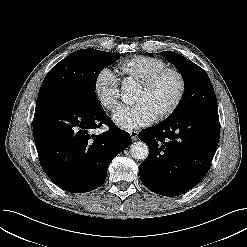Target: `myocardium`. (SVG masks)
Here are the masks:
<instances>
[{
	"mask_svg": "<svg viewBox=\"0 0 247 247\" xmlns=\"http://www.w3.org/2000/svg\"><path fill=\"white\" fill-rule=\"evenodd\" d=\"M166 73H174L180 82V88H179V92L175 98V100L173 101V103L164 111H162L159 115H158V119L159 120H163L168 118L169 116H171L180 106V104L182 103L185 94H186V90H187V82H186V78L184 76V74L177 68L174 67H165L162 68L160 70H157L155 72H153L152 74L148 75L147 77H145L144 79H142L139 82V86H141L142 88H149L151 87L154 83H156V81L163 76Z\"/></svg>",
	"mask_w": 247,
	"mask_h": 247,
	"instance_id": "1",
	"label": "myocardium"
}]
</instances>
